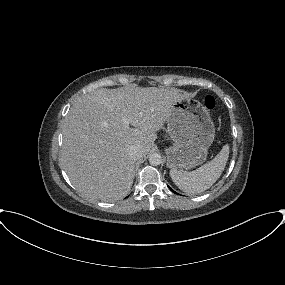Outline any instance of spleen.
<instances>
[{
	"mask_svg": "<svg viewBox=\"0 0 285 285\" xmlns=\"http://www.w3.org/2000/svg\"><path fill=\"white\" fill-rule=\"evenodd\" d=\"M229 145L223 146L221 151L210 162L191 172L171 169L170 176L175 185L188 195L199 194L209 189L221 176L228 157Z\"/></svg>",
	"mask_w": 285,
	"mask_h": 285,
	"instance_id": "1",
	"label": "spleen"
}]
</instances>
